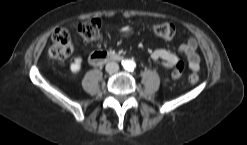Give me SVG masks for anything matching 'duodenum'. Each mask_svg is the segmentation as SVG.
<instances>
[{
	"instance_id": "duodenum-1",
	"label": "duodenum",
	"mask_w": 247,
	"mask_h": 145,
	"mask_svg": "<svg viewBox=\"0 0 247 145\" xmlns=\"http://www.w3.org/2000/svg\"><path fill=\"white\" fill-rule=\"evenodd\" d=\"M122 59L123 57L119 54L106 51H96L90 55L89 62L94 66H100L107 62L121 61Z\"/></svg>"
}]
</instances>
